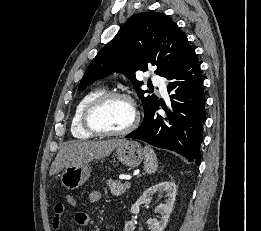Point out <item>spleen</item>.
<instances>
[{
	"instance_id": "obj_1",
	"label": "spleen",
	"mask_w": 261,
	"mask_h": 231,
	"mask_svg": "<svg viewBox=\"0 0 261 231\" xmlns=\"http://www.w3.org/2000/svg\"><path fill=\"white\" fill-rule=\"evenodd\" d=\"M144 154H145V162H144L145 172L148 174L155 173L158 168V161L154 150L148 146H145Z\"/></svg>"
}]
</instances>
